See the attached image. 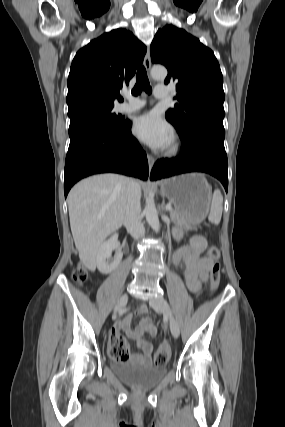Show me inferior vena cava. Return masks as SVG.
I'll return each instance as SVG.
<instances>
[{"instance_id":"602c4592","label":"inferior vena cava","mask_w":285,"mask_h":427,"mask_svg":"<svg viewBox=\"0 0 285 427\" xmlns=\"http://www.w3.org/2000/svg\"><path fill=\"white\" fill-rule=\"evenodd\" d=\"M141 188L137 181L129 179L127 187V205L124 225L131 236L138 240L144 236L145 228L141 222Z\"/></svg>"}]
</instances>
